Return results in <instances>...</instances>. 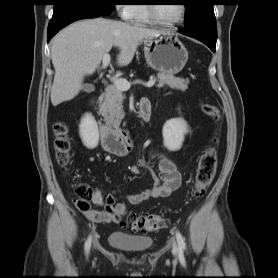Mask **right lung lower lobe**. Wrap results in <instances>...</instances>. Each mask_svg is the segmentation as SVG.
<instances>
[{"instance_id": "obj_1", "label": "right lung lower lobe", "mask_w": 278, "mask_h": 278, "mask_svg": "<svg viewBox=\"0 0 278 278\" xmlns=\"http://www.w3.org/2000/svg\"><path fill=\"white\" fill-rule=\"evenodd\" d=\"M101 15L92 13V12H87V11H81V10H72V11H67L63 14H61L58 18L55 20H51L48 26V36H47V41L49 40L62 28L67 26L68 24L80 20V19H85V18H95L99 17Z\"/></svg>"}]
</instances>
